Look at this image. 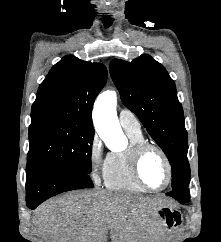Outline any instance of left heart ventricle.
I'll return each mask as SVG.
<instances>
[{
    "label": "left heart ventricle",
    "instance_id": "b2bd125f",
    "mask_svg": "<svg viewBox=\"0 0 221 242\" xmlns=\"http://www.w3.org/2000/svg\"><path fill=\"white\" fill-rule=\"evenodd\" d=\"M141 175L144 181L153 188L162 187L167 180V168L162 156L150 150L141 163Z\"/></svg>",
    "mask_w": 221,
    "mask_h": 242
}]
</instances>
